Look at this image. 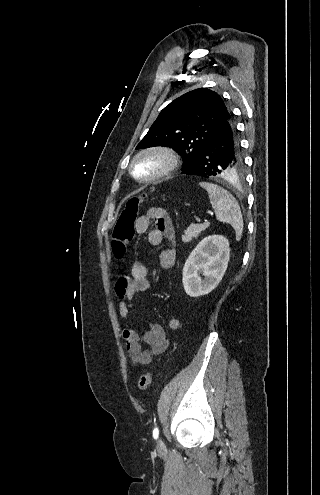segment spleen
<instances>
[{
    "mask_svg": "<svg viewBox=\"0 0 320 495\" xmlns=\"http://www.w3.org/2000/svg\"><path fill=\"white\" fill-rule=\"evenodd\" d=\"M200 186L208 192L217 220L230 224L235 230L236 241H240L243 232V219L235 197L213 183L201 182Z\"/></svg>",
    "mask_w": 320,
    "mask_h": 495,
    "instance_id": "3e777b00",
    "label": "spleen"
}]
</instances>
